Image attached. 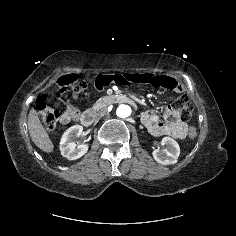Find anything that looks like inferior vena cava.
I'll list each match as a JSON object with an SVG mask.
<instances>
[{"label":"inferior vena cava","instance_id":"obj_1","mask_svg":"<svg viewBox=\"0 0 236 236\" xmlns=\"http://www.w3.org/2000/svg\"><path fill=\"white\" fill-rule=\"evenodd\" d=\"M102 116H103V113H102V112L97 113L95 119L98 120V119H100Z\"/></svg>","mask_w":236,"mask_h":236}]
</instances>
